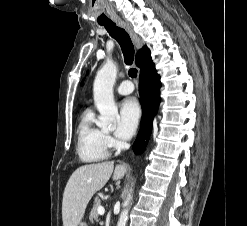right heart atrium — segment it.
Returning <instances> with one entry per match:
<instances>
[{"label": "right heart atrium", "mask_w": 247, "mask_h": 226, "mask_svg": "<svg viewBox=\"0 0 247 226\" xmlns=\"http://www.w3.org/2000/svg\"><path fill=\"white\" fill-rule=\"evenodd\" d=\"M106 139L109 145H113L116 143L115 139L111 135H106Z\"/></svg>", "instance_id": "1"}]
</instances>
